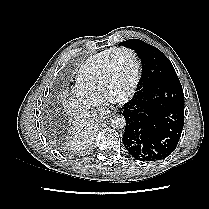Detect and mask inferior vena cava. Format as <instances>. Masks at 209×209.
I'll list each match as a JSON object with an SVG mask.
<instances>
[{"label":"inferior vena cava","instance_id":"obj_1","mask_svg":"<svg viewBox=\"0 0 209 209\" xmlns=\"http://www.w3.org/2000/svg\"><path fill=\"white\" fill-rule=\"evenodd\" d=\"M99 111H100V114H101V115H103V114L106 113V109H105V108H100Z\"/></svg>","mask_w":209,"mask_h":209}]
</instances>
